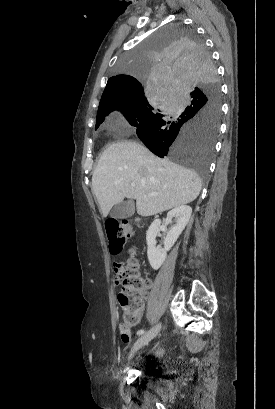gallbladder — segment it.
Instances as JSON below:
<instances>
[{"mask_svg":"<svg viewBox=\"0 0 275 409\" xmlns=\"http://www.w3.org/2000/svg\"><path fill=\"white\" fill-rule=\"evenodd\" d=\"M131 215H134L133 200L118 202V205H115L110 213L112 219H127V217H131Z\"/></svg>","mask_w":275,"mask_h":409,"instance_id":"1","label":"gallbladder"}]
</instances>
